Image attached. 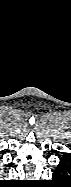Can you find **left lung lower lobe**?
<instances>
[{
	"label": "left lung lower lobe",
	"mask_w": 71,
	"mask_h": 187,
	"mask_svg": "<svg viewBox=\"0 0 71 187\" xmlns=\"http://www.w3.org/2000/svg\"><path fill=\"white\" fill-rule=\"evenodd\" d=\"M70 178L71 153H65L53 173V179L55 182H69Z\"/></svg>",
	"instance_id": "left-lung-lower-lobe-1"
}]
</instances>
